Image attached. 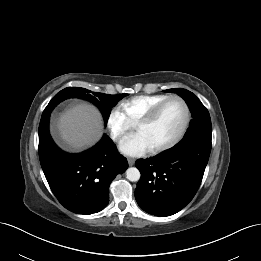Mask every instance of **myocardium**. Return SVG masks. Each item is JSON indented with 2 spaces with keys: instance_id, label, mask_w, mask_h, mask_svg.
I'll list each match as a JSON object with an SVG mask.
<instances>
[{
  "instance_id": "1",
  "label": "myocardium",
  "mask_w": 261,
  "mask_h": 261,
  "mask_svg": "<svg viewBox=\"0 0 261 261\" xmlns=\"http://www.w3.org/2000/svg\"><path fill=\"white\" fill-rule=\"evenodd\" d=\"M174 101L178 102L182 106L183 111H184V119H183L182 126H181L180 130L178 131V133L170 141H168L167 143H165L163 145L151 148L150 151L152 153H160V152L169 150L182 140V138L185 136V134L189 128L190 122H191V111H190L189 105L182 97H180L178 95L169 96L168 98H166L165 100H163L162 102L157 104L155 107H153L142 119H140L136 123V129L139 126L151 124L152 122H154L156 120V118L159 116L161 111L169 103L174 102Z\"/></svg>"
}]
</instances>
